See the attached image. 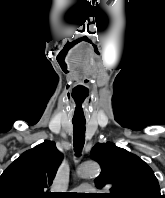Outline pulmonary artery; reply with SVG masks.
<instances>
[{
	"mask_svg": "<svg viewBox=\"0 0 165 198\" xmlns=\"http://www.w3.org/2000/svg\"><path fill=\"white\" fill-rule=\"evenodd\" d=\"M91 189H92L91 186L88 185H80L76 188L77 191H83V192H87Z\"/></svg>",
	"mask_w": 165,
	"mask_h": 198,
	"instance_id": "obj_1",
	"label": "pulmonary artery"
}]
</instances>
